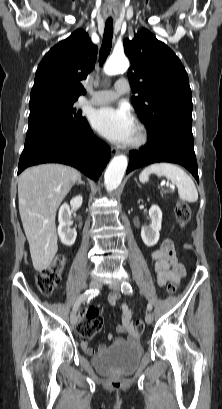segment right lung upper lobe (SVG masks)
Masks as SVG:
<instances>
[{"mask_svg": "<svg viewBox=\"0 0 222 409\" xmlns=\"http://www.w3.org/2000/svg\"><path fill=\"white\" fill-rule=\"evenodd\" d=\"M97 50L82 29L50 49L37 68L29 108L51 102H72L85 94L80 82L94 68Z\"/></svg>", "mask_w": 222, "mask_h": 409, "instance_id": "cb5924a9", "label": "right lung upper lobe"}]
</instances>
